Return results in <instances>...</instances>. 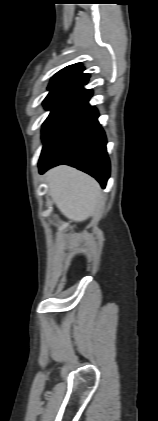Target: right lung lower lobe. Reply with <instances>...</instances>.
<instances>
[{
  "label": "right lung lower lobe",
  "mask_w": 158,
  "mask_h": 421,
  "mask_svg": "<svg viewBox=\"0 0 158 421\" xmlns=\"http://www.w3.org/2000/svg\"><path fill=\"white\" fill-rule=\"evenodd\" d=\"M92 90L81 89L63 107L44 140L39 171L67 164L95 177L105 188L110 175L106 137L98 111L88 104Z\"/></svg>",
  "instance_id": "1"
}]
</instances>
